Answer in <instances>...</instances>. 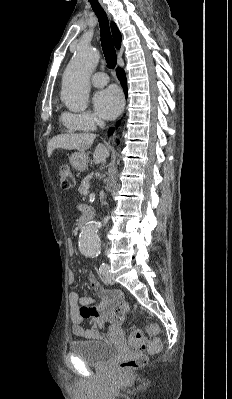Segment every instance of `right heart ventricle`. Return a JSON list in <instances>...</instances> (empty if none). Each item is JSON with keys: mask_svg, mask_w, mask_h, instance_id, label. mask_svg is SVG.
I'll list each match as a JSON object with an SVG mask.
<instances>
[{"mask_svg": "<svg viewBox=\"0 0 232 399\" xmlns=\"http://www.w3.org/2000/svg\"><path fill=\"white\" fill-rule=\"evenodd\" d=\"M60 129L66 134L70 135H78L85 131L83 128H81L79 125H77L75 122L67 120L64 116L60 118Z\"/></svg>", "mask_w": 232, "mask_h": 399, "instance_id": "e07e8e85", "label": "right heart ventricle"}]
</instances>
